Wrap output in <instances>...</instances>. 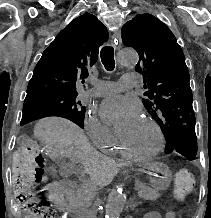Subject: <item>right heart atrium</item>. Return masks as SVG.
<instances>
[{"mask_svg": "<svg viewBox=\"0 0 211 218\" xmlns=\"http://www.w3.org/2000/svg\"><path fill=\"white\" fill-rule=\"evenodd\" d=\"M84 124L90 139L96 147L103 148L114 141L113 135L102 125L93 112H87Z\"/></svg>", "mask_w": 211, "mask_h": 218, "instance_id": "1", "label": "right heart atrium"}]
</instances>
